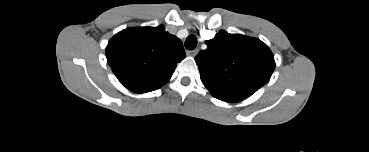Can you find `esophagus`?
<instances>
[{
	"mask_svg": "<svg viewBox=\"0 0 369 152\" xmlns=\"http://www.w3.org/2000/svg\"><path fill=\"white\" fill-rule=\"evenodd\" d=\"M198 52H199L198 49H194V50L188 51L187 54L189 56L195 57L198 54Z\"/></svg>",
	"mask_w": 369,
	"mask_h": 152,
	"instance_id": "esophagus-1",
	"label": "esophagus"
}]
</instances>
